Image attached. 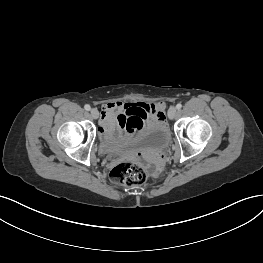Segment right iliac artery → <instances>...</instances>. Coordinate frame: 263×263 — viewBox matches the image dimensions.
I'll list each match as a JSON object with an SVG mask.
<instances>
[{
    "label": "right iliac artery",
    "instance_id": "obj_1",
    "mask_svg": "<svg viewBox=\"0 0 263 263\" xmlns=\"http://www.w3.org/2000/svg\"><path fill=\"white\" fill-rule=\"evenodd\" d=\"M84 108H85V110H87V111H89V110L91 109L90 105H88V104H86V105L84 106Z\"/></svg>",
    "mask_w": 263,
    "mask_h": 263
}]
</instances>
